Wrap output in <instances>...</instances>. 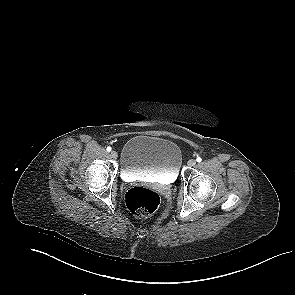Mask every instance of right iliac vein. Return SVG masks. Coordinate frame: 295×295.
<instances>
[{"label": "right iliac vein", "instance_id": "obj_1", "mask_svg": "<svg viewBox=\"0 0 295 295\" xmlns=\"http://www.w3.org/2000/svg\"><path fill=\"white\" fill-rule=\"evenodd\" d=\"M111 157L113 158V159H116L117 157H118V154H117V152L116 151H111Z\"/></svg>", "mask_w": 295, "mask_h": 295}]
</instances>
